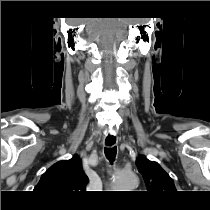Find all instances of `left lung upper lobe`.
I'll return each mask as SVG.
<instances>
[{
  "mask_svg": "<svg viewBox=\"0 0 210 210\" xmlns=\"http://www.w3.org/2000/svg\"><path fill=\"white\" fill-rule=\"evenodd\" d=\"M136 166L142 174L149 192L164 194L176 191L172 178L157 162L139 156Z\"/></svg>",
  "mask_w": 210,
  "mask_h": 210,
  "instance_id": "1",
  "label": "left lung upper lobe"
}]
</instances>
